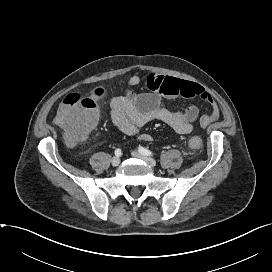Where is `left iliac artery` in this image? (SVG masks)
Wrapping results in <instances>:
<instances>
[{"label": "left iliac artery", "instance_id": "44dca946", "mask_svg": "<svg viewBox=\"0 0 272 272\" xmlns=\"http://www.w3.org/2000/svg\"><path fill=\"white\" fill-rule=\"evenodd\" d=\"M138 151L141 153V154H143V155H146V156H153V153L150 151V150H148V149H146L145 147H139L138 148Z\"/></svg>", "mask_w": 272, "mask_h": 272}]
</instances>
